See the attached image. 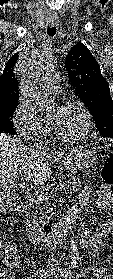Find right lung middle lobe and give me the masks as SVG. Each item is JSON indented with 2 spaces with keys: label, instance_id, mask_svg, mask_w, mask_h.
<instances>
[{
  "label": "right lung middle lobe",
  "instance_id": "right-lung-middle-lobe-1",
  "mask_svg": "<svg viewBox=\"0 0 113 279\" xmlns=\"http://www.w3.org/2000/svg\"><path fill=\"white\" fill-rule=\"evenodd\" d=\"M16 106L0 109V132L9 133L15 135L16 132L13 128V122L11 121Z\"/></svg>",
  "mask_w": 113,
  "mask_h": 279
}]
</instances>
